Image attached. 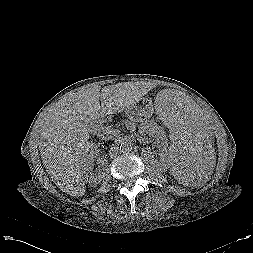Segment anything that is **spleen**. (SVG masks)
Instances as JSON below:
<instances>
[{"label": "spleen", "mask_w": 253, "mask_h": 253, "mask_svg": "<svg viewBox=\"0 0 253 253\" xmlns=\"http://www.w3.org/2000/svg\"><path fill=\"white\" fill-rule=\"evenodd\" d=\"M154 110L166 125L175 180L185 187L201 185L215 157V140L203 113L175 89L161 90Z\"/></svg>", "instance_id": "spleen-1"}]
</instances>
